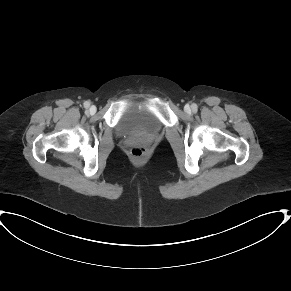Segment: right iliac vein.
I'll return each instance as SVG.
<instances>
[{
  "instance_id": "right-iliac-vein-1",
  "label": "right iliac vein",
  "mask_w": 291,
  "mask_h": 291,
  "mask_svg": "<svg viewBox=\"0 0 291 291\" xmlns=\"http://www.w3.org/2000/svg\"><path fill=\"white\" fill-rule=\"evenodd\" d=\"M89 112L91 114L95 113L96 112V107L95 106H91L90 109H89Z\"/></svg>"
}]
</instances>
